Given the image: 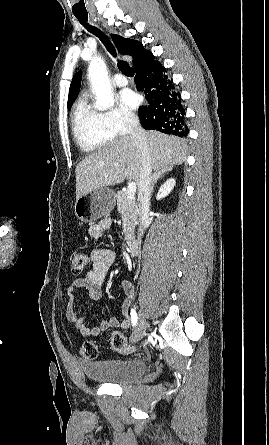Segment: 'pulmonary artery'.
Here are the masks:
<instances>
[{
	"instance_id": "e3ab8cb5",
	"label": "pulmonary artery",
	"mask_w": 269,
	"mask_h": 445,
	"mask_svg": "<svg viewBox=\"0 0 269 445\" xmlns=\"http://www.w3.org/2000/svg\"><path fill=\"white\" fill-rule=\"evenodd\" d=\"M113 84L118 87H123L128 84V80L121 74H116L112 80Z\"/></svg>"
}]
</instances>
